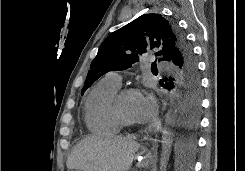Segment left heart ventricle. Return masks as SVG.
<instances>
[{
  "instance_id": "left-heart-ventricle-1",
  "label": "left heart ventricle",
  "mask_w": 245,
  "mask_h": 171,
  "mask_svg": "<svg viewBox=\"0 0 245 171\" xmlns=\"http://www.w3.org/2000/svg\"><path fill=\"white\" fill-rule=\"evenodd\" d=\"M139 94L127 95L120 101V110L123 116L133 122H137L135 112L139 101Z\"/></svg>"
}]
</instances>
